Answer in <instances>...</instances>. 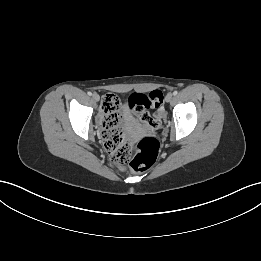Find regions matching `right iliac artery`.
<instances>
[{"label":"right iliac artery","instance_id":"1","mask_svg":"<svg viewBox=\"0 0 261 261\" xmlns=\"http://www.w3.org/2000/svg\"><path fill=\"white\" fill-rule=\"evenodd\" d=\"M87 94H88L89 96H91V95H92V92L89 91Z\"/></svg>","mask_w":261,"mask_h":261}]
</instances>
